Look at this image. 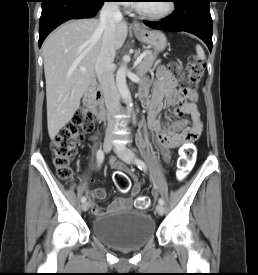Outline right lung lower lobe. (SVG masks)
Returning a JSON list of instances; mask_svg holds the SVG:
<instances>
[{
	"label": "right lung lower lobe",
	"instance_id": "1",
	"mask_svg": "<svg viewBox=\"0 0 258 275\" xmlns=\"http://www.w3.org/2000/svg\"><path fill=\"white\" fill-rule=\"evenodd\" d=\"M105 0H42L39 20V47L47 35L70 19L93 17Z\"/></svg>",
	"mask_w": 258,
	"mask_h": 275
}]
</instances>
